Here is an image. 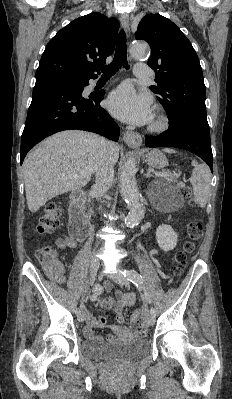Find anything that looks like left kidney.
Returning a JSON list of instances; mask_svg holds the SVG:
<instances>
[{"instance_id": "left-kidney-1", "label": "left kidney", "mask_w": 232, "mask_h": 399, "mask_svg": "<svg viewBox=\"0 0 232 399\" xmlns=\"http://www.w3.org/2000/svg\"><path fill=\"white\" fill-rule=\"evenodd\" d=\"M156 239L161 249L169 251V249L175 247L178 235L171 225H165V223H162V225H158L156 229Z\"/></svg>"}]
</instances>
